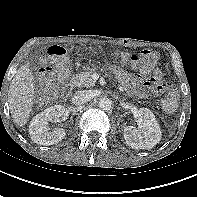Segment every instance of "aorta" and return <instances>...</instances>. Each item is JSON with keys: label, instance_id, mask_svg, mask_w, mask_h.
Here are the masks:
<instances>
[{"label": "aorta", "instance_id": "762f6f07", "mask_svg": "<svg viewBox=\"0 0 197 197\" xmlns=\"http://www.w3.org/2000/svg\"><path fill=\"white\" fill-rule=\"evenodd\" d=\"M98 105L101 110L108 111L112 107V101L109 98H101Z\"/></svg>", "mask_w": 197, "mask_h": 197}]
</instances>
